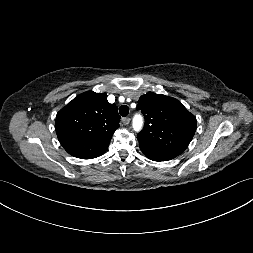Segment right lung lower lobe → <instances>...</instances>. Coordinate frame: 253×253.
<instances>
[{
    "instance_id": "1",
    "label": "right lung lower lobe",
    "mask_w": 253,
    "mask_h": 253,
    "mask_svg": "<svg viewBox=\"0 0 253 253\" xmlns=\"http://www.w3.org/2000/svg\"><path fill=\"white\" fill-rule=\"evenodd\" d=\"M105 151H106V150L102 151L101 153L95 154V155H93V156H91V157H89V158H87V159L96 158V157L102 155Z\"/></svg>"
}]
</instances>
